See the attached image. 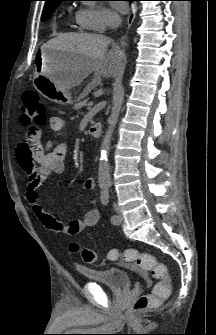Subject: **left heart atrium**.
<instances>
[{"instance_id": "left-heart-atrium-1", "label": "left heart atrium", "mask_w": 216, "mask_h": 335, "mask_svg": "<svg viewBox=\"0 0 216 335\" xmlns=\"http://www.w3.org/2000/svg\"><path fill=\"white\" fill-rule=\"evenodd\" d=\"M113 6L120 13L126 12V7L122 2H114Z\"/></svg>"}]
</instances>
